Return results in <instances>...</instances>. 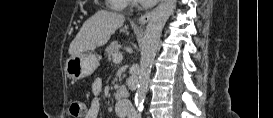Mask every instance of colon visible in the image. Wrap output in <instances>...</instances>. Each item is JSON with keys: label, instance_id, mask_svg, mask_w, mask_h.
Here are the masks:
<instances>
[{"label": "colon", "instance_id": "colon-1", "mask_svg": "<svg viewBox=\"0 0 273 118\" xmlns=\"http://www.w3.org/2000/svg\"><path fill=\"white\" fill-rule=\"evenodd\" d=\"M69 111L72 117H83L86 113L85 104L79 99H74L70 103Z\"/></svg>", "mask_w": 273, "mask_h": 118}]
</instances>
